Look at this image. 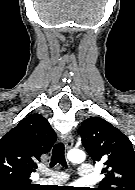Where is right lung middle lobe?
<instances>
[{"label": "right lung middle lobe", "instance_id": "right-lung-middle-lobe-1", "mask_svg": "<svg viewBox=\"0 0 135 190\" xmlns=\"http://www.w3.org/2000/svg\"><path fill=\"white\" fill-rule=\"evenodd\" d=\"M0 190H36L34 185L24 184H0Z\"/></svg>", "mask_w": 135, "mask_h": 190}]
</instances>
